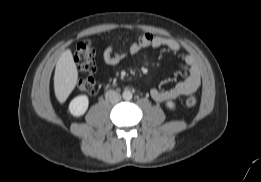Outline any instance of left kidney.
I'll return each instance as SVG.
<instances>
[{
  "instance_id": "5707ae66",
  "label": "left kidney",
  "mask_w": 261,
  "mask_h": 182,
  "mask_svg": "<svg viewBox=\"0 0 261 182\" xmlns=\"http://www.w3.org/2000/svg\"><path fill=\"white\" fill-rule=\"evenodd\" d=\"M166 106H167V108H169V109H175V104H174V102H172V101H167L166 102Z\"/></svg>"
}]
</instances>
